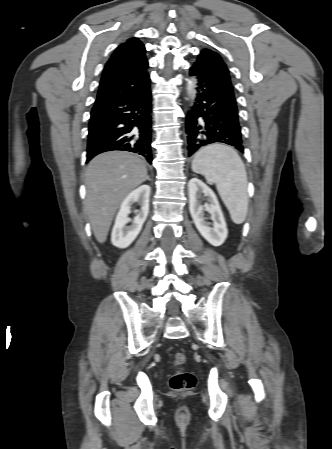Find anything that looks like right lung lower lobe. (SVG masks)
<instances>
[{
  "label": "right lung lower lobe",
  "mask_w": 332,
  "mask_h": 449,
  "mask_svg": "<svg viewBox=\"0 0 332 449\" xmlns=\"http://www.w3.org/2000/svg\"><path fill=\"white\" fill-rule=\"evenodd\" d=\"M151 91L95 104L89 122L87 162L97 154L121 150L152 163Z\"/></svg>",
  "instance_id": "98d812e1"
}]
</instances>
